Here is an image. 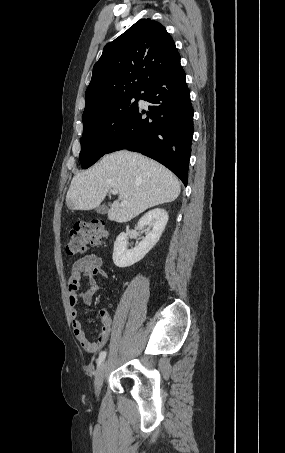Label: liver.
Segmentation results:
<instances>
[{"instance_id": "liver-1", "label": "liver", "mask_w": 285, "mask_h": 453, "mask_svg": "<svg viewBox=\"0 0 285 453\" xmlns=\"http://www.w3.org/2000/svg\"><path fill=\"white\" fill-rule=\"evenodd\" d=\"M110 189L118 200L108 210V219L130 221L146 209L174 201L180 194L178 178L158 162L127 150L105 155L90 169L76 174L66 196L70 210L97 208Z\"/></svg>"}]
</instances>
